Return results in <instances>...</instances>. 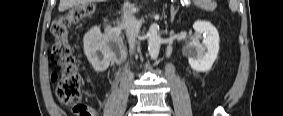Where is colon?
<instances>
[{
	"label": "colon",
	"mask_w": 283,
	"mask_h": 116,
	"mask_svg": "<svg viewBox=\"0 0 283 116\" xmlns=\"http://www.w3.org/2000/svg\"><path fill=\"white\" fill-rule=\"evenodd\" d=\"M94 12L92 1H81L60 15L52 24L51 30L56 42L53 56L60 66V75H53L56 96L65 105H74V113L78 116H91L92 110L86 105H77L81 99V80L73 59L72 47L68 41L70 28L79 21L91 16Z\"/></svg>",
	"instance_id": "5ec220e1"
}]
</instances>
